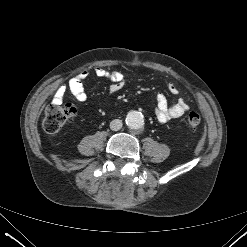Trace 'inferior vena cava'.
I'll use <instances>...</instances> for the list:
<instances>
[{
    "instance_id": "obj_1",
    "label": "inferior vena cava",
    "mask_w": 247,
    "mask_h": 247,
    "mask_svg": "<svg viewBox=\"0 0 247 247\" xmlns=\"http://www.w3.org/2000/svg\"><path fill=\"white\" fill-rule=\"evenodd\" d=\"M122 121L119 119H114L110 122V129L113 131H118L122 128Z\"/></svg>"
}]
</instances>
